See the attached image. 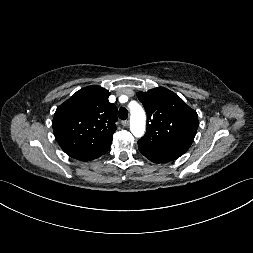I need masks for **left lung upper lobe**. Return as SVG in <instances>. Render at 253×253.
<instances>
[{
    "mask_svg": "<svg viewBox=\"0 0 253 253\" xmlns=\"http://www.w3.org/2000/svg\"><path fill=\"white\" fill-rule=\"evenodd\" d=\"M137 97L147 113L146 134L138 143L183 155L197 132L196 111L164 87L138 92Z\"/></svg>",
    "mask_w": 253,
    "mask_h": 253,
    "instance_id": "5c2ea615",
    "label": "left lung upper lobe"
}]
</instances>
